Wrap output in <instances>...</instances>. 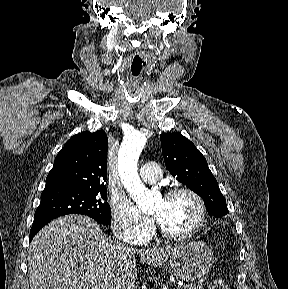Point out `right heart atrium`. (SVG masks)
Listing matches in <instances>:
<instances>
[{"instance_id":"obj_1","label":"right heart atrium","mask_w":288,"mask_h":289,"mask_svg":"<svg viewBox=\"0 0 288 289\" xmlns=\"http://www.w3.org/2000/svg\"><path fill=\"white\" fill-rule=\"evenodd\" d=\"M111 223L115 236L129 244H142L153 232L151 220L141 216L124 199L112 202Z\"/></svg>"}]
</instances>
